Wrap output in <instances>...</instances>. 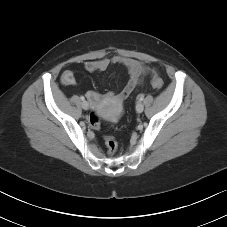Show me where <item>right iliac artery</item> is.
I'll use <instances>...</instances> for the list:
<instances>
[{
  "mask_svg": "<svg viewBox=\"0 0 227 227\" xmlns=\"http://www.w3.org/2000/svg\"><path fill=\"white\" fill-rule=\"evenodd\" d=\"M80 99H81L82 101H85V98H84V96H81V97H80Z\"/></svg>",
  "mask_w": 227,
  "mask_h": 227,
  "instance_id": "right-iliac-artery-1",
  "label": "right iliac artery"
}]
</instances>
